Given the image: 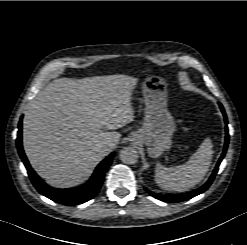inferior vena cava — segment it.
I'll return each mask as SVG.
<instances>
[{
	"label": "inferior vena cava",
	"instance_id": "inferior-vena-cava-1",
	"mask_svg": "<svg viewBox=\"0 0 247 245\" xmlns=\"http://www.w3.org/2000/svg\"><path fill=\"white\" fill-rule=\"evenodd\" d=\"M101 147L104 151L111 152L116 147V143L107 141L104 142Z\"/></svg>",
	"mask_w": 247,
	"mask_h": 245
}]
</instances>
